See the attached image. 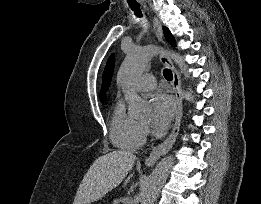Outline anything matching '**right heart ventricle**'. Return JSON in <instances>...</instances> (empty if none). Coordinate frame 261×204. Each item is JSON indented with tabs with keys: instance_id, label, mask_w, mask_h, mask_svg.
I'll return each instance as SVG.
<instances>
[{
	"instance_id": "1",
	"label": "right heart ventricle",
	"mask_w": 261,
	"mask_h": 204,
	"mask_svg": "<svg viewBox=\"0 0 261 204\" xmlns=\"http://www.w3.org/2000/svg\"><path fill=\"white\" fill-rule=\"evenodd\" d=\"M110 140L120 149L136 151L144 143L143 125L126 113L122 102L114 106L110 120Z\"/></svg>"
}]
</instances>
